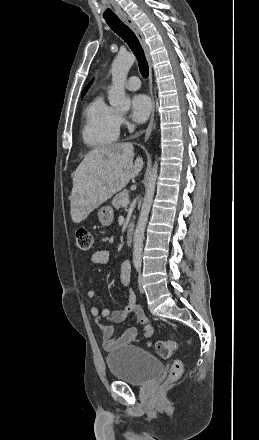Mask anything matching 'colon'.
Instances as JSON below:
<instances>
[{
  "label": "colon",
  "mask_w": 259,
  "mask_h": 440,
  "mask_svg": "<svg viewBox=\"0 0 259 440\" xmlns=\"http://www.w3.org/2000/svg\"><path fill=\"white\" fill-rule=\"evenodd\" d=\"M76 246L81 251H89L93 246L92 233L85 227H81L76 231L75 236ZM178 345L173 340H160L156 343V351L163 358H169L174 355ZM183 371V364L180 360L173 361L170 371L169 380L174 381L178 379Z\"/></svg>",
  "instance_id": "5ec220e1"
}]
</instances>
